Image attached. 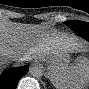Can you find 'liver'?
I'll use <instances>...</instances> for the list:
<instances>
[{"instance_id":"obj_1","label":"liver","mask_w":89,"mask_h":89,"mask_svg":"<svg viewBox=\"0 0 89 89\" xmlns=\"http://www.w3.org/2000/svg\"><path fill=\"white\" fill-rule=\"evenodd\" d=\"M81 49L79 44L49 34L38 25L5 23L0 27L1 62L8 53H13V58L17 61L26 60L27 54L45 60L49 54L60 57Z\"/></svg>"}]
</instances>
